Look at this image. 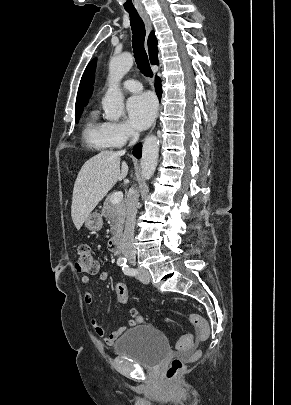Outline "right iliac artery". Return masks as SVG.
Returning <instances> with one entry per match:
<instances>
[{
    "label": "right iliac artery",
    "instance_id": "obj_1",
    "mask_svg": "<svg viewBox=\"0 0 291 405\" xmlns=\"http://www.w3.org/2000/svg\"><path fill=\"white\" fill-rule=\"evenodd\" d=\"M117 264L119 266H124L126 264V260L125 259H118Z\"/></svg>",
    "mask_w": 291,
    "mask_h": 405
}]
</instances>
